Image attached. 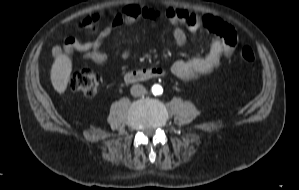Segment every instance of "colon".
Wrapping results in <instances>:
<instances>
[{
	"instance_id": "5ec220e1",
	"label": "colon",
	"mask_w": 299,
	"mask_h": 190,
	"mask_svg": "<svg viewBox=\"0 0 299 190\" xmlns=\"http://www.w3.org/2000/svg\"><path fill=\"white\" fill-rule=\"evenodd\" d=\"M204 23H208V19L204 18ZM99 19L93 17L83 24L82 29L93 31L97 28ZM240 57L243 62L251 64L255 61V53L250 47L242 48ZM100 79L97 74L90 68H81L77 70L70 79V85L74 90L82 92L86 96H94L98 92Z\"/></svg>"
}]
</instances>
